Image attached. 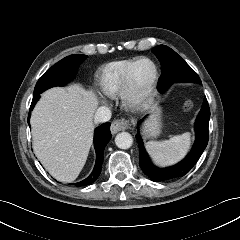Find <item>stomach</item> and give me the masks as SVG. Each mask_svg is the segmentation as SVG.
<instances>
[{
	"label": "stomach",
	"instance_id": "1",
	"mask_svg": "<svg viewBox=\"0 0 240 240\" xmlns=\"http://www.w3.org/2000/svg\"><path fill=\"white\" fill-rule=\"evenodd\" d=\"M156 111L149 120L146 121L144 125V135L147 138L156 137L161 132V123H160V116L159 111L157 108H154Z\"/></svg>",
	"mask_w": 240,
	"mask_h": 240
}]
</instances>
